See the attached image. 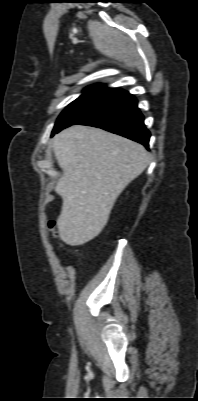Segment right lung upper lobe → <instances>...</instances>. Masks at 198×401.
Here are the masks:
<instances>
[{
	"mask_svg": "<svg viewBox=\"0 0 198 401\" xmlns=\"http://www.w3.org/2000/svg\"><path fill=\"white\" fill-rule=\"evenodd\" d=\"M85 90H108V91H112L113 88H106L103 84H95L92 86H89L87 88H85Z\"/></svg>",
	"mask_w": 198,
	"mask_h": 401,
	"instance_id": "right-lung-upper-lobe-1",
	"label": "right lung upper lobe"
}]
</instances>
